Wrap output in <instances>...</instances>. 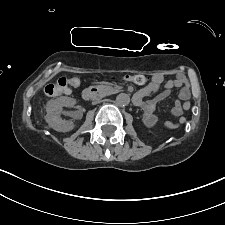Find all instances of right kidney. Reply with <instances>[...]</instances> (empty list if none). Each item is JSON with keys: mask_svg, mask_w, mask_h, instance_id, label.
<instances>
[{"mask_svg": "<svg viewBox=\"0 0 225 225\" xmlns=\"http://www.w3.org/2000/svg\"><path fill=\"white\" fill-rule=\"evenodd\" d=\"M76 100L70 97L62 96L57 99H52L47 103L45 120L48 125L56 131L68 132L74 128L72 120L65 121L59 117V110L62 107H73Z\"/></svg>", "mask_w": 225, "mask_h": 225, "instance_id": "1", "label": "right kidney"}]
</instances>
